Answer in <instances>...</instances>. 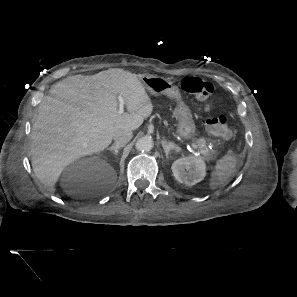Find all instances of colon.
<instances>
[{
	"label": "colon",
	"instance_id": "colon-1",
	"mask_svg": "<svg viewBox=\"0 0 297 297\" xmlns=\"http://www.w3.org/2000/svg\"><path fill=\"white\" fill-rule=\"evenodd\" d=\"M181 88L183 91L205 101L206 111L210 112L212 110V103L209 99L213 94L214 88L210 82L197 77H185L181 81ZM206 127L215 136L228 138L230 135L228 117L223 113H212L206 121Z\"/></svg>",
	"mask_w": 297,
	"mask_h": 297
}]
</instances>
